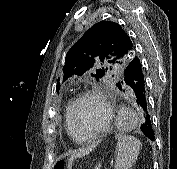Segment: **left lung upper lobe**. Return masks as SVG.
I'll return each instance as SVG.
<instances>
[{"instance_id":"1","label":"left lung upper lobe","mask_w":177,"mask_h":169,"mask_svg":"<svg viewBox=\"0 0 177 169\" xmlns=\"http://www.w3.org/2000/svg\"><path fill=\"white\" fill-rule=\"evenodd\" d=\"M136 55L134 42L119 24L98 22L66 54L63 81L72 75L81 76L88 71H93L91 76L98 81L112 69V66L106 67V63L116 65L123 71ZM116 85L118 87L120 83ZM125 90L130 91H123Z\"/></svg>"}]
</instances>
